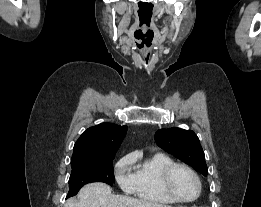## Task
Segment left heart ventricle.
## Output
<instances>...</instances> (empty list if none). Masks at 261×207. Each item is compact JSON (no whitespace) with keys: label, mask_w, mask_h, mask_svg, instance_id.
<instances>
[{"label":"left heart ventricle","mask_w":261,"mask_h":207,"mask_svg":"<svg viewBox=\"0 0 261 207\" xmlns=\"http://www.w3.org/2000/svg\"><path fill=\"white\" fill-rule=\"evenodd\" d=\"M172 187L175 193L183 199H192L198 191L194 177L184 169H177L172 177Z\"/></svg>","instance_id":"obj_1"}]
</instances>
